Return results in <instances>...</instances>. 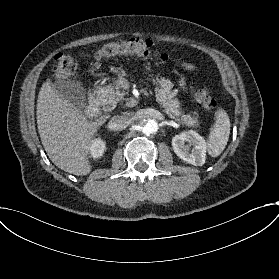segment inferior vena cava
Listing matches in <instances>:
<instances>
[{
    "label": "inferior vena cava",
    "instance_id": "obj_1",
    "mask_svg": "<svg viewBox=\"0 0 279 279\" xmlns=\"http://www.w3.org/2000/svg\"><path fill=\"white\" fill-rule=\"evenodd\" d=\"M130 124V121L127 116L116 115L111 118L108 123L109 129L113 131H122L127 128Z\"/></svg>",
    "mask_w": 279,
    "mask_h": 279
}]
</instances>
